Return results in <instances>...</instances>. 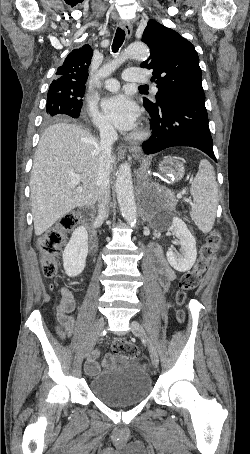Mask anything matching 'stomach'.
<instances>
[{"mask_svg":"<svg viewBox=\"0 0 250 454\" xmlns=\"http://www.w3.org/2000/svg\"><path fill=\"white\" fill-rule=\"evenodd\" d=\"M159 169L161 176L168 181L178 180L184 174L183 165L172 158L164 159L160 163Z\"/></svg>","mask_w":250,"mask_h":454,"instance_id":"1","label":"stomach"}]
</instances>
